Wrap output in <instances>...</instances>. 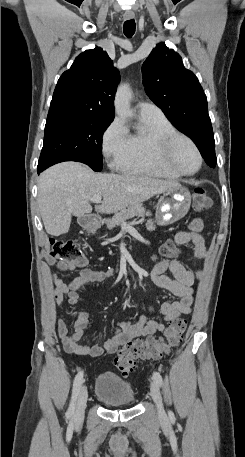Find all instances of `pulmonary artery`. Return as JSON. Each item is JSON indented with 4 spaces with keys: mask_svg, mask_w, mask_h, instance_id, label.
Wrapping results in <instances>:
<instances>
[{
    "mask_svg": "<svg viewBox=\"0 0 245 457\" xmlns=\"http://www.w3.org/2000/svg\"><path fill=\"white\" fill-rule=\"evenodd\" d=\"M135 109L142 117L157 116L163 114L161 109L153 103L139 101L135 105Z\"/></svg>",
    "mask_w": 245,
    "mask_h": 457,
    "instance_id": "1",
    "label": "pulmonary artery"
}]
</instances>
